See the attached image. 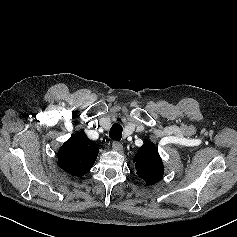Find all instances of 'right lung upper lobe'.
Listing matches in <instances>:
<instances>
[{"mask_svg":"<svg viewBox=\"0 0 237 237\" xmlns=\"http://www.w3.org/2000/svg\"><path fill=\"white\" fill-rule=\"evenodd\" d=\"M98 153L99 148L94 141L83 134H76L60 148L58 162L67 173L80 176L93 167Z\"/></svg>","mask_w":237,"mask_h":237,"instance_id":"right-lung-upper-lobe-1","label":"right lung upper lobe"}]
</instances>
